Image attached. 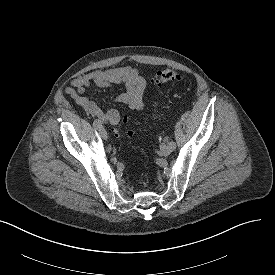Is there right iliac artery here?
I'll return each instance as SVG.
<instances>
[{
    "label": "right iliac artery",
    "mask_w": 275,
    "mask_h": 275,
    "mask_svg": "<svg viewBox=\"0 0 275 275\" xmlns=\"http://www.w3.org/2000/svg\"><path fill=\"white\" fill-rule=\"evenodd\" d=\"M93 126L98 129L101 126L100 121L95 119L94 122H93Z\"/></svg>",
    "instance_id": "1"
}]
</instances>
